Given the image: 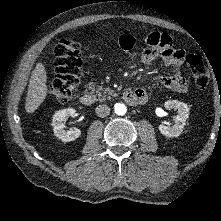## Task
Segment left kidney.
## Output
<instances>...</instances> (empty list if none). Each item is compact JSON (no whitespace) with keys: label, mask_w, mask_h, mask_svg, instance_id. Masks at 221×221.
I'll return each instance as SVG.
<instances>
[{"label":"left kidney","mask_w":221,"mask_h":221,"mask_svg":"<svg viewBox=\"0 0 221 221\" xmlns=\"http://www.w3.org/2000/svg\"><path fill=\"white\" fill-rule=\"evenodd\" d=\"M167 110H177L178 115L174 117L175 124L173 126L159 125V131L166 137H178L185 126V122L189 117V107L177 100H168L164 104Z\"/></svg>","instance_id":"left-kidney-1"}]
</instances>
